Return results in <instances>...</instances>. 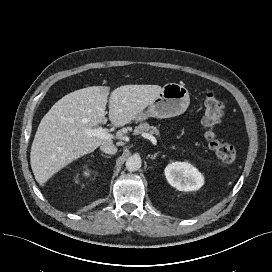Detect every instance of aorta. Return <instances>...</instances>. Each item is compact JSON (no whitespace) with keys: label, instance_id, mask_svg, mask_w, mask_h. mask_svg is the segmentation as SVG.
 Here are the masks:
<instances>
[{"label":"aorta","instance_id":"aorta-1","mask_svg":"<svg viewBox=\"0 0 272 272\" xmlns=\"http://www.w3.org/2000/svg\"><path fill=\"white\" fill-rule=\"evenodd\" d=\"M142 164L141 158L138 155H133L126 160V169L130 172H134L140 169Z\"/></svg>","mask_w":272,"mask_h":272}]
</instances>
